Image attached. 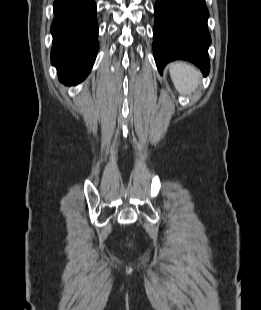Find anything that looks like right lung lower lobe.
I'll return each mask as SVG.
<instances>
[{
  "label": "right lung lower lobe",
  "mask_w": 261,
  "mask_h": 310,
  "mask_svg": "<svg viewBox=\"0 0 261 310\" xmlns=\"http://www.w3.org/2000/svg\"><path fill=\"white\" fill-rule=\"evenodd\" d=\"M51 33V62L59 80L81 82L91 71L98 52L95 1L55 0Z\"/></svg>",
  "instance_id": "obj_1"
}]
</instances>
